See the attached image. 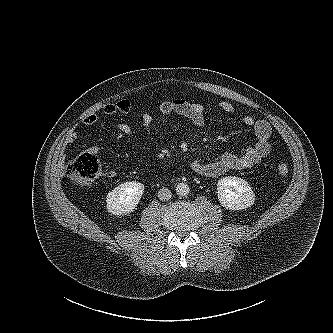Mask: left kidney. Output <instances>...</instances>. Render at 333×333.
Segmentation results:
<instances>
[{
	"instance_id": "1",
	"label": "left kidney",
	"mask_w": 333,
	"mask_h": 333,
	"mask_svg": "<svg viewBox=\"0 0 333 333\" xmlns=\"http://www.w3.org/2000/svg\"><path fill=\"white\" fill-rule=\"evenodd\" d=\"M217 193L221 205L229 210H242L255 202V194L248 182L235 176L221 178L217 183Z\"/></svg>"
}]
</instances>
